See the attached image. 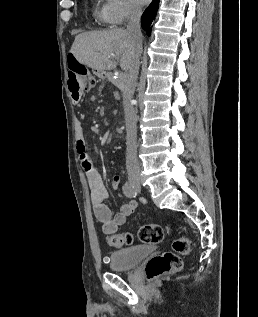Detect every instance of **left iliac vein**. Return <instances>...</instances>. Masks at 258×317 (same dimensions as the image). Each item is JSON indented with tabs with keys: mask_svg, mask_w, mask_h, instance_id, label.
<instances>
[{
	"mask_svg": "<svg viewBox=\"0 0 258 317\" xmlns=\"http://www.w3.org/2000/svg\"><path fill=\"white\" fill-rule=\"evenodd\" d=\"M137 189H138V191H137V192L139 193V192H140V191H139V189H140V188L138 187Z\"/></svg>",
	"mask_w": 258,
	"mask_h": 317,
	"instance_id": "4c4485c4",
	"label": "left iliac vein"
}]
</instances>
